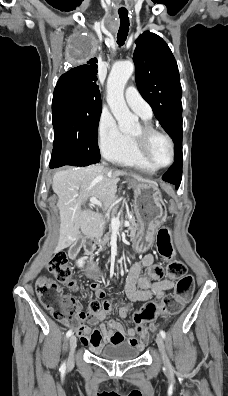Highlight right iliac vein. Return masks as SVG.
I'll return each instance as SVG.
<instances>
[{"mask_svg": "<svg viewBox=\"0 0 228 396\" xmlns=\"http://www.w3.org/2000/svg\"><path fill=\"white\" fill-rule=\"evenodd\" d=\"M76 346H77V338H76V336L72 335L69 340V349H70L69 359H68L69 364H72L74 361V352H75Z\"/></svg>", "mask_w": 228, "mask_h": 396, "instance_id": "1", "label": "right iliac vein"}]
</instances>
